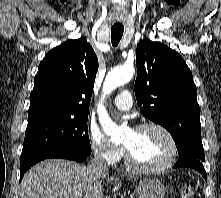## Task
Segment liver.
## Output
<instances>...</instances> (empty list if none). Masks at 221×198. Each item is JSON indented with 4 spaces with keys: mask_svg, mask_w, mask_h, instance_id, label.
Here are the masks:
<instances>
[{
    "mask_svg": "<svg viewBox=\"0 0 221 198\" xmlns=\"http://www.w3.org/2000/svg\"><path fill=\"white\" fill-rule=\"evenodd\" d=\"M114 181L108 172L94 171L86 165L72 161L49 159L33 166L23 176L21 198H103L104 183ZM122 179V178H121ZM120 181V178H116Z\"/></svg>",
    "mask_w": 221,
    "mask_h": 198,
    "instance_id": "1",
    "label": "liver"
}]
</instances>
